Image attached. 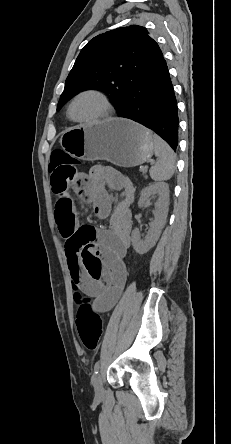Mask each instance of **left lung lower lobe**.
<instances>
[{"label": "left lung lower lobe", "instance_id": "0a47b994", "mask_svg": "<svg viewBox=\"0 0 231 444\" xmlns=\"http://www.w3.org/2000/svg\"><path fill=\"white\" fill-rule=\"evenodd\" d=\"M118 115L150 128L176 151L179 123L177 101L161 50L138 75L127 103Z\"/></svg>", "mask_w": 231, "mask_h": 444}]
</instances>
